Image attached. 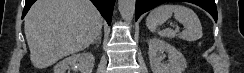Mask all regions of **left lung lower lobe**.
I'll return each instance as SVG.
<instances>
[{
  "instance_id": "left-lung-lower-lobe-1",
  "label": "left lung lower lobe",
  "mask_w": 244,
  "mask_h": 73,
  "mask_svg": "<svg viewBox=\"0 0 244 73\" xmlns=\"http://www.w3.org/2000/svg\"><path fill=\"white\" fill-rule=\"evenodd\" d=\"M170 1L175 0H136L135 20L137 21L140 15L153 9L154 7ZM186 2H190L202 7L213 16L215 21H217V9L214 0H189Z\"/></svg>"
}]
</instances>
